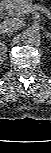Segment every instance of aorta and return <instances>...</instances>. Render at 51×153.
Listing matches in <instances>:
<instances>
[{"label": "aorta", "instance_id": "aorta-1", "mask_svg": "<svg viewBox=\"0 0 51 153\" xmlns=\"http://www.w3.org/2000/svg\"><path fill=\"white\" fill-rule=\"evenodd\" d=\"M41 32L37 26H30L26 28L21 36V40L23 43L28 45H36L40 42Z\"/></svg>", "mask_w": 51, "mask_h": 153}]
</instances>
